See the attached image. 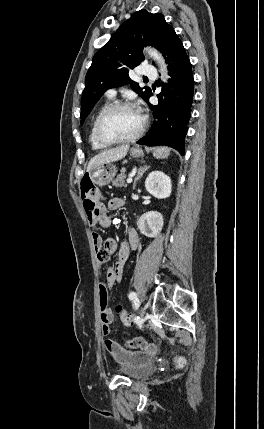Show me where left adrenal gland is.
I'll use <instances>...</instances> for the list:
<instances>
[{
    "label": "left adrenal gland",
    "instance_id": "obj_1",
    "mask_svg": "<svg viewBox=\"0 0 264 429\" xmlns=\"http://www.w3.org/2000/svg\"><path fill=\"white\" fill-rule=\"evenodd\" d=\"M150 168V166L144 165L138 169L137 176L134 179L133 190H135L137 181L143 176V174Z\"/></svg>",
    "mask_w": 264,
    "mask_h": 429
}]
</instances>
